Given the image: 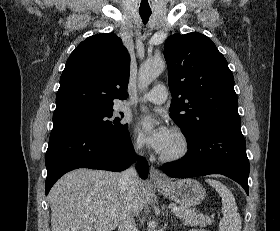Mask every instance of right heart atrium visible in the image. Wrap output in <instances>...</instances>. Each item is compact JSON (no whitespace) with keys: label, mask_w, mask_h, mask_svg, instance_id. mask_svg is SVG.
I'll list each match as a JSON object with an SVG mask.
<instances>
[{"label":"right heart atrium","mask_w":280,"mask_h":231,"mask_svg":"<svg viewBox=\"0 0 280 231\" xmlns=\"http://www.w3.org/2000/svg\"><path fill=\"white\" fill-rule=\"evenodd\" d=\"M143 147H144V144H143V141L140 138L137 137V138H135L133 140V142H132V149L134 151L139 152V151H141L143 149Z\"/></svg>","instance_id":"d8ad5b80"}]
</instances>
